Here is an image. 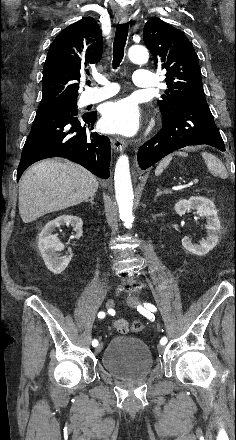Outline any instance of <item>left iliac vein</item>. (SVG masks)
<instances>
[{"label": "left iliac vein", "mask_w": 236, "mask_h": 440, "mask_svg": "<svg viewBox=\"0 0 236 440\" xmlns=\"http://www.w3.org/2000/svg\"><path fill=\"white\" fill-rule=\"evenodd\" d=\"M126 301H127V304L130 307H136L138 305V303H139V299L135 295L128 296ZM164 350H165V346L164 345H162V344L158 345V351L159 352H163Z\"/></svg>", "instance_id": "1"}]
</instances>
